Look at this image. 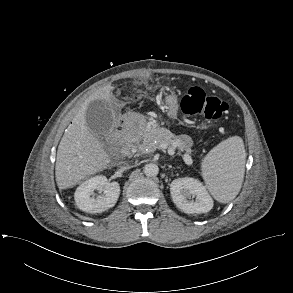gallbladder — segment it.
I'll use <instances>...</instances> for the list:
<instances>
[{
    "label": "gallbladder",
    "mask_w": 293,
    "mask_h": 293,
    "mask_svg": "<svg viewBox=\"0 0 293 293\" xmlns=\"http://www.w3.org/2000/svg\"><path fill=\"white\" fill-rule=\"evenodd\" d=\"M86 125L93 134H106L113 125L114 115L104 100L91 101L86 109Z\"/></svg>",
    "instance_id": "bac80fb5"
}]
</instances>
